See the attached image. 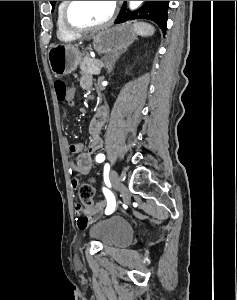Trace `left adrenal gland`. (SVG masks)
Wrapping results in <instances>:
<instances>
[{
    "label": "left adrenal gland",
    "mask_w": 237,
    "mask_h": 300,
    "mask_svg": "<svg viewBox=\"0 0 237 300\" xmlns=\"http://www.w3.org/2000/svg\"><path fill=\"white\" fill-rule=\"evenodd\" d=\"M125 51H126V49H125ZM122 53H124V51H118V53H115V55H109V57H103L105 67L107 69V73H111V71H113V67H114L116 61H118V59H120V55H122Z\"/></svg>",
    "instance_id": "left-adrenal-gland-1"
}]
</instances>
